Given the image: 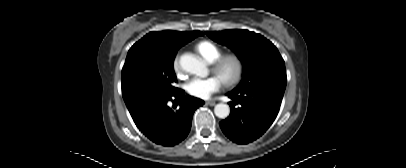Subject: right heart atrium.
<instances>
[{
	"label": "right heart atrium",
	"mask_w": 406,
	"mask_h": 168,
	"mask_svg": "<svg viewBox=\"0 0 406 168\" xmlns=\"http://www.w3.org/2000/svg\"><path fill=\"white\" fill-rule=\"evenodd\" d=\"M173 69L179 76H182V67L179 55H176L173 59Z\"/></svg>",
	"instance_id": "1"
}]
</instances>
